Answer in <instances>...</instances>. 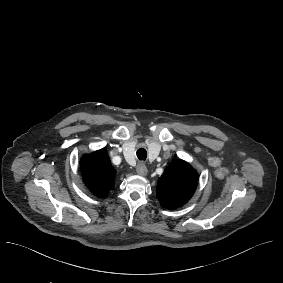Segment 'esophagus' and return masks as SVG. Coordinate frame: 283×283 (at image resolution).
I'll list each match as a JSON object with an SVG mask.
<instances>
[{
	"label": "esophagus",
	"mask_w": 283,
	"mask_h": 283,
	"mask_svg": "<svg viewBox=\"0 0 283 283\" xmlns=\"http://www.w3.org/2000/svg\"><path fill=\"white\" fill-rule=\"evenodd\" d=\"M136 172L139 174V175H146L147 174V168L145 166V164L143 163H139L136 167Z\"/></svg>",
	"instance_id": "34e87169"
}]
</instances>
